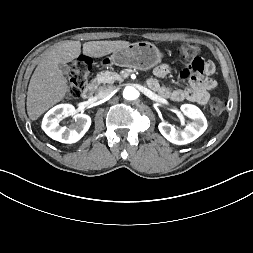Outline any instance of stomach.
I'll return each instance as SVG.
<instances>
[{
  "label": "stomach",
  "mask_w": 253,
  "mask_h": 253,
  "mask_svg": "<svg viewBox=\"0 0 253 253\" xmlns=\"http://www.w3.org/2000/svg\"><path fill=\"white\" fill-rule=\"evenodd\" d=\"M162 54L158 48L147 41L132 43L116 50L104 60V66L112 65L148 70L161 62Z\"/></svg>",
  "instance_id": "stomach-1"
}]
</instances>
